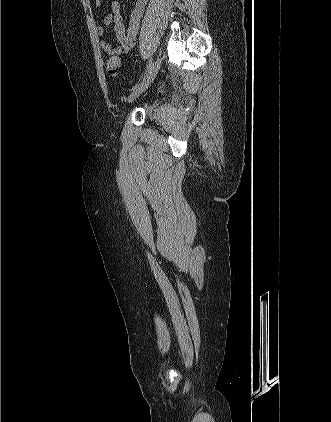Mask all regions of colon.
<instances>
[{
  "label": "colon",
  "instance_id": "obj_1",
  "mask_svg": "<svg viewBox=\"0 0 331 422\" xmlns=\"http://www.w3.org/2000/svg\"><path fill=\"white\" fill-rule=\"evenodd\" d=\"M106 69L110 77L118 76L121 70L120 58L117 56L109 58Z\"/></svg>",
  "mask_w": 331,
  "mask_h": 422
}]
</instances>
